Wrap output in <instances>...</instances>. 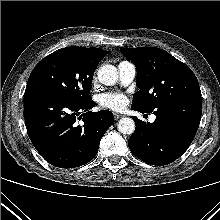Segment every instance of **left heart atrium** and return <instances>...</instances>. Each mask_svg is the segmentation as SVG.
I'll use <instances>...</instances> for the list:
<instances>
[{"label":"left heart atrium","instance_id":"39dd6f15","mask_svg":"<svg viewBox=\"0 0 220 220\" xmlns=\"http://www.w3.org/2000/svg\"><path fill=\"white\" fill-rule=\"evenodd\" d=\"M126 103V97L120 93H106L101 95V106L113 110H119L124 107Z\"/></svg>","mask_w":220,"mask_h":220}]
</instances>
